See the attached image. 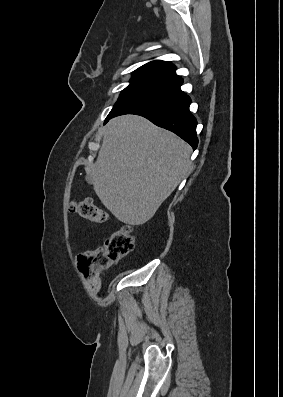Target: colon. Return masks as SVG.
<instances>
[{
	"label": "colon",
	"mask_w": 283,
	"mask_h": 397,
	"mask_svg": "<svg viewBox=\"0 0 283 397\" xmlns=\"http://www.w3.org/2000/svg\"><path fill=\"white\" fill-rule=\"evenodd\" d=\"M69 210L80 218L96 224L105 223L109 219V214L96 206L91 199L72 201ZM133 248L132 228L129 225H123L113 232L103 245L86 250L78 256L79 271L85 278L91 293L99 292L102 272L128 255Z\"/></svg>",
	"instance_id": "5ec220e1"
}]
</instances>
